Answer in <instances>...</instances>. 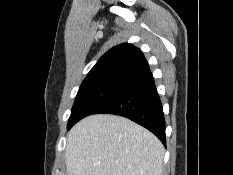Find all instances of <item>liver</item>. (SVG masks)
Here are the masks:
<instances>
[{"label": "liver", "mask_w": 233, "mask_h": 175, "mask_svg": "<svg viewBox=\"0 0 233 175\" xmlns=\"http://www.w3.org/2000/svg\"><path fill=\"white\" fill-rule=\"evenodd\" d=\"M164 146L121 116L91 115L67 134V175H162Z\"/></svg>", "instance_id": "obj_1"}]
</instances>
